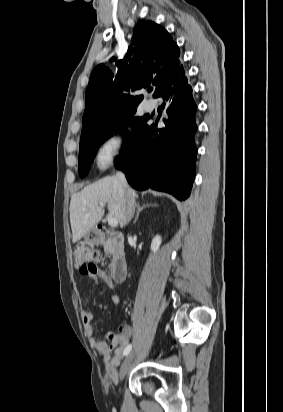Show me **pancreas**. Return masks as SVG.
Wrapping results in <instances>:
<instances>
[{
    "mask_svg": "<svg viewBox=\"0 0 283 412\" xmlns=\"http://www.w3.org/2000/svg\"><path fill=\"white\" fill-rule=\"evenodd\" d=\"M104 251H105L106 253H109V252H110V248H109V246H108L107 243H106L105 246H104Z\"/></svg>",
    "mask_w": 283,
    "mask_h": 412,
    "instance_id": "pancreas-1",
    "label": "pancreas"
}]
</instances>
